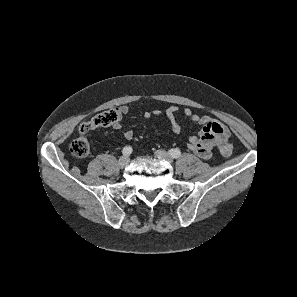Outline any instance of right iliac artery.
Listing matches in <instances>:
<instances>
[{"label":"right iliac artery","mask_w":297,"mask_h":297,"mask_svg":"<svg viewBox=\"0 0 297 297\" xmlns=\"http://www.w3.org/2000/svg\"><path fill=\"white\" fill-rule=\"evenodd\" d=\"M132 151H133L132 147L126 146V147L123 148L122 153L125 156H129L132 153Z\"/></svg>","instance_id":"1"}]
</instances>
